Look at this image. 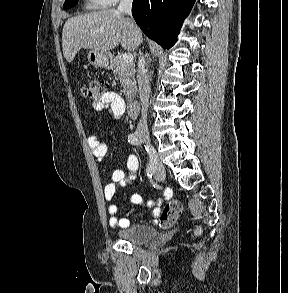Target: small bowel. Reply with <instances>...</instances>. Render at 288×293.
Instances as JSON below:
<instances>
[{
  "mask_svg": "<svg viewBox=\"0 0 288 293\" xmlns=\"http://www.w3.org/2000/svg\"><path fill=\"white\" fill-rule=\"evenodd\" d=\"M93 108L96 111H106L109 116L113 118H120L126 111V103L124 99L114 91H107L104 96L93 103ZM133 116L131 113H129ZM89 148L97 161H102L109 152L108 143L101 140L97 134H92L88 137ZM127 173L125 174L122 170L116 169L112 173L111 181L107 183L104 187L105 199L111 201L116 193V191L126 185L128 181L134 180L137 176V171L139 169L138 158L130 154L126 160ZM165 198H168V194H165ZM131 201L137 205H143V199L138 194H133L131 196ZM161 201L153 202L149 201L148 206H153L152 218L153 221H157L158 215L161 211L160 209ZM134 209L128 211L125 216L118 218L117 212L118 207L116 204H110L108 206L109 225L111 227H122L126 228L130 225L129 217L134 213Z\"/></svg>",
  "mask_w": 288,
  "mask_h": 293,
  "instance_id": "c3829d8e",
  "label": "small bowel"
}]
</instances>
